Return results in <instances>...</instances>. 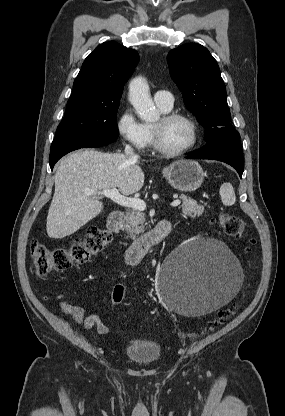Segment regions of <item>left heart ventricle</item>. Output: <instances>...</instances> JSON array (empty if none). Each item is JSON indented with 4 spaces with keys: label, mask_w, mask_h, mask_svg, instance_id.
Masks as SVG:
<instances>
[{
    "label": "left heart ventricle",
    "mask_w": 285,
    "mask_h": 416,
    "mask_svg": "<svg viewBox=\"0 0 285 416\" xmlns=\"http://www.w3.org/2000/svg\"><path fill=\"white\" fill-rule=\"evenodd\" d=\"M151 125L158 130L161 144L169 150H181L191 142V128L184 120L162 122L159 116Z\"/></svg>",
    "instance_id": "obj_1"
}]
</instances>
